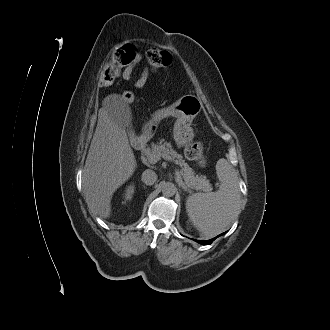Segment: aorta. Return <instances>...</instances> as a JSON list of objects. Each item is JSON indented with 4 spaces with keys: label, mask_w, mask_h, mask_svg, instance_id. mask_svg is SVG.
Segmentation results:
<instances>
[{
    "label": "aorta",
    "mask_w": 330,
    "mask_h": 330,
    "mask_svg": "<svg viewBox=\"0 0 330 330\" xmlns=\"http://www.w3.org/2000/svg\"><path fill=\"white\" fill-rule=\"evenodd\" d=\"M162 193L164 196L171 197L175 195L177 188L172 182H164L162 184Z\"/></svg>",
    "instance_id": "1"
}]
</instances>
